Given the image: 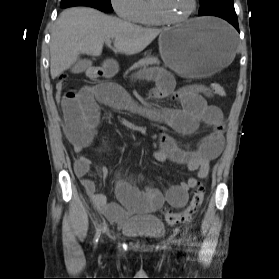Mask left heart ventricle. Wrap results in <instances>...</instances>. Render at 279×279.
<instances>
[{
  "instance_id": "1",
  "label": "left heart ventricle",
  "mask_w": 279,
  "mask_h": 279,
  "mask_svg": "<svg viewBox=\"0 0 279 279\" xmlns=\"http://www.w3.org/2000/svg\"><path fill=\"white\" fill-rule=\"evenodd\" d=\"M164 12L171 18L184 16L192 5V0H161Z\"/></svg>"
}]
</instances>
